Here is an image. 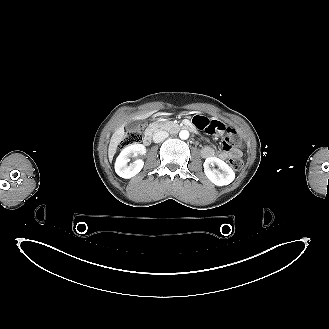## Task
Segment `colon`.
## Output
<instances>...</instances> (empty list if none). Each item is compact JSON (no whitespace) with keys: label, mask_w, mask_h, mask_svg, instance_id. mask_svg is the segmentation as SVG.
Segmentation results:
<instances>
[{"label":"colon","mask_w":329,"mask_h":329,"mask_svg":"<svg viewBox=\"0 0 329 329\" xmlns=\"http://www.w3.org/2000/svg\"><path fill=\"white\" fill-rule=\"evenodd\" d=\"M141 140H142L141 128L138 127L128 130L125 134V137L120 143V148H126L128 146L138 144L141 142ZM240 145H241V139L237 136L236 132L233 129L231 134H229L228 138L223 139V147L226 149H229L231 146H240ZM229 163L230 166L236 171L241 170L243 167V161L239 157H232Z\"/></svg>","instance_id":"1"}]
</instances>
